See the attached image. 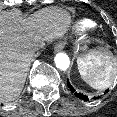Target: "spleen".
<instances>
[{
  "instance_id": "1",
  "label": "spleen",
  "mask_w": 117,
  "mask_h": 117,
  "mask_svg": "<svg viewBox=\"0 0 117 117\" xmlns=\"http://www.w3.org/2000/svg\"><path fill=\"white\" fill-rule=\"evenodd\" d=\"M77 64L82 79L94 89L104 90L117 78V59L108 51H91Z\"/></svg>"
}]
</instances>
